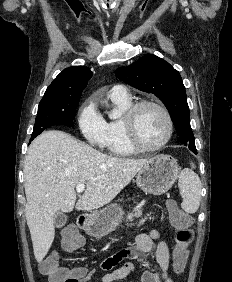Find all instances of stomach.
I'll return each instance as SVG.
<instances>
[{
	"instance_id": "0dacf381",
	"label": "stomach",
	"mask_w": 232,
	"mask_h": 282,
	"mask_svg": "<svg viewBox=\"0 0 232 282\" xmlns=\"http://www.w3.org/2000/svg\"><path fill=\"white\" fill-rule=\"evenodd\" d=\"M179 174L177 161L169 155H156L136 175L138 187L155 196L166 193L175 183ZM120 205L111 204L87 219L85 231L96 238H102L114 231L123 218Z\"/></svg>"
}]
</instances>
